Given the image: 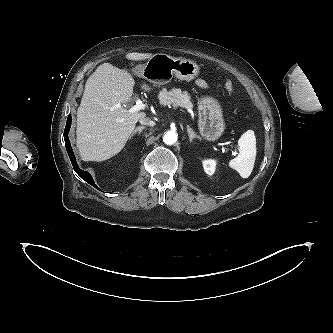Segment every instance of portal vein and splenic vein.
Masks as SVG:
<instances>
[{
    "label": "portal vein and splenic vein",
    "instance_id": "portal-vein-and-splenic-vein-1",
    "mask_svg": "<svg viewBox=\"0 0 333 333\" xmlns=\"http://www.w3.org/2000/svg\"><path fill=\"white\" fill-rule=\"evenodd\" d=\"M145 107H146V105L142 102V100L137 99V100H136V104H135L133 107H131V108L128 110V112H130V113H134V112H137V111H139V110L145 109ZM115 108H118V109H124L123 106L120 105V104H117V105L115 106ZM232 153H233L234 156H236V154H237L236 151H233Z\"/></svg>",
    "mask_w": 333,
    "mask_h": 333
}]
</instances>
